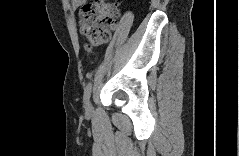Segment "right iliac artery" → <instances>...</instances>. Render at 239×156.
<instances>
[{
	"label": "right iliac artery",
	"mask_w": 239,
	"mask_h": 156,
	"mask_svg": "<svg viewBox=\"0 0 239 156\" xmlns=\"http://www.w3.org/2000/svg\"><path fill=\"white\" fill-rule=\"evenodd\" d=\"M91 89H92V84L89 83L85 89V92H84V97H83V100H84V104H85V107L89 101V98H90V95H91Z\"/></svg>",
	"instance_id": "obj_1"
}]
</instances>
